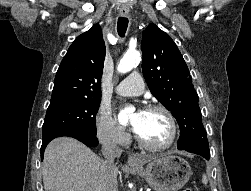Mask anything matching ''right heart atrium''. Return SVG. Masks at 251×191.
Instances as JSON below:
<instances>
[{
  "label": "right heart atrium",
  "mask_w": 251,
  "mask_h": 191,
  "mask_svg": "<svg viewBox=\"0 0 251 191\" xmlns=\"http://www.w3.org/2000/svg\"><path fill=\"white\" fill-rule=\"evenodd\" d=\"M95 135L104 145L123 146L129 137L123 127L105 109H99L94 119Z\"/></svg>",
  "instance_id": "obj_1"
}]
</instances>
